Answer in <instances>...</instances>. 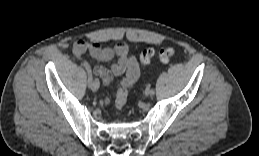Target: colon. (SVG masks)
<instances>
[{
	"instance_id": "colon-1",
	"label": "colon",
	"mask_w": 259,
	"mask_h": 156,
	"mask_svg": "<svg viewBox=\"0 0 259 156\" xmlns=\"http://www.w3.org/2000/svg\"><path fill=\"white\" fill-rule=\"evenodd\" d=\"M175 54V49L172 46H166L159 51V59L162 62H167ZM155 56V51L152 48L143 49L140 53V61L144 65L152 62ZM127 102V87L118 85L115 92V106L118 111H121Z\"/></svg>"
}]
</instances>
